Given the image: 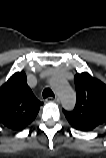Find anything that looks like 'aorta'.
I'll list each match as a JSON object with an SVG mask.
<instances>
[{
    "instance_id": "762f6f07",
    "label": "aorta",
    "mask_w": 106,
    "mask_h": 158,
    "mask_svg": "<svg viewBox=\"0 0 106 158\" xmlns=\"http://www.w3.org/2000/svg\"><path fill=\"white\" fill-rule=\"evenodd\" d=\"M50 84L59 94L62 106L67 110L73 109L76 102V96L67 82L61 78L53 77L50 80Z\"/></svg>"
}]
</instances>
